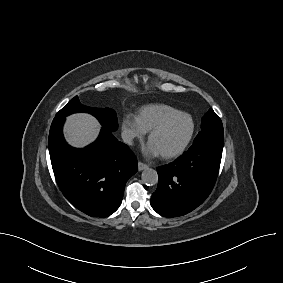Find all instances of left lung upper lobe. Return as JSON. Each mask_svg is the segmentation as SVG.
I'll return each mask as SVG.
<instances>
[{
  "mask_svg": "<svg viewBox=\"0 0 283 283\" xmlns=\"http://www.w3.org/2000/svg\"><path fill=\"white\" fill-rule=\"evenodd\" d=\"M207 141L223 146L224 134L221 119L210 109L201 120V131L193 143Z\"/></svg>",
  "mask_w": 283,
  "mask_h": 283,
  "instance_id": "obj_1",
  "label": "left lung upper lobe"
}]
</instances>
